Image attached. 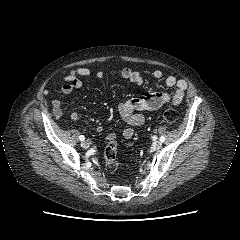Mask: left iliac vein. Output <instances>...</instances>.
I'll return each instance as SVG.
<instances>
[{"label": "left iliac vein", "mask_w": 240, "mask_h": 240, "mask_svg": "<svg viewBox=\"0 0 240 240\" xmlns=\"http://www.w3.org/2000/svg\"><path fill=\"white\" fill-rule=\"evenodd\" d=\"M162 147V142L161 141H156L153 143V148L155 150L160 149Z\"/></svg>", "instance_id": "4c4485c4"}]
</instances>
